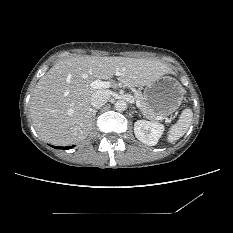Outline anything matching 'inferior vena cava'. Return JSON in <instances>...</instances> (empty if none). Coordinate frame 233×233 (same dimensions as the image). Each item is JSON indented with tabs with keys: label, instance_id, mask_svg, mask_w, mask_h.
<instances>
[{
	"label": "inferior vena cava",
	"instance_id": "1",
	"mask_svg": "<svg viewBox=\"0 0 233 233\" xmlns=\"http://www.w3.org/2000/svg\"><path fill=\"white\" fill-rule=\"evenodd\" d=\"M110 95L109 90L102 89L95 91L91 96V105L96 108L103 106L110 98Z\"/></svg>",
	"mask_w": 233,
	"mask_h": 233
}]
</instances>
